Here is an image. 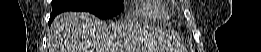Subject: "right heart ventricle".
<instances>
[{"label":"right heart ventricle","mask_w":261,"mask_h":52,"mask_svg":"<svg viewBox=\"0 0 261 52\" xmlns=\"http://www.w3.org/2000/svg\"><path fill=\"white\" fill-rule=\"evenodd\" d=\"M134 18L145 22H165L171 16V10L165 1L143 0L134 8Z\"/></svg>","instance_id":"e07e8e85"}]
</instances>
